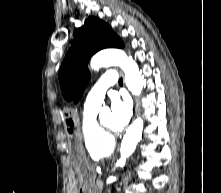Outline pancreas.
<instances>
[{
	"label": "pancreas",
	"mask_w": 221,
	"mask_h": 193,
	"mask_svg": "<svg viewBox=\"0 0 221 193\" xmlns=\"http://www.w3.org/2000/svg\"><path fill=\"white\" fill-rule=\"evenodd\" d=\"M95 188L97 193H100V191L102 190V187L99 185V178L96 179Z\"/></svg>",
	"instance_id": "1"
}]
</instances>
